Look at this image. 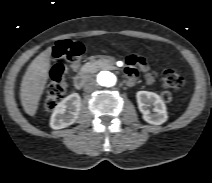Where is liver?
Segmentation results:
<instances>
[{
  "mask_svg": "<svg viewBox=\"0 0 212 183\" xmlns=\"http://www.w3.org/2000/svg\"><path fill=\"white\" fill-rule=\"evenodd\" d=\"M51 52L52 48L50 47L40 53L28 66L23 76L20 98L22 106L29 116L35 115L44 92L49 77Z\"/></svg>",
  "mask_w": 212,
  "mask_h": 183,
  "instance_id": "obj_1",
  "label": "liver"
}]
</instances>
